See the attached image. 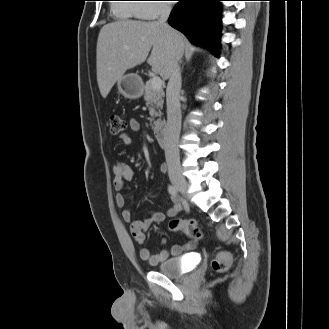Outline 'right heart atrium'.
<instances>
[{"label": "right heart atrium", "mask_w": 329, "mask_h": 329, "mask_svg": "<svg viewBox=\"0 0 329 329\" xmlns=\"http://www.w3.org/2000/svg\"><path fill=\"white\" fill-rule=\"evenodd\" d=\"M143 2L152 3H145L141 5L140 17L142 19H155L162 13L169 10V7L167 6V2L169 1L146 0Z\"/></svg>", "instance_id": "d8ad5b80"}]
</instances>
